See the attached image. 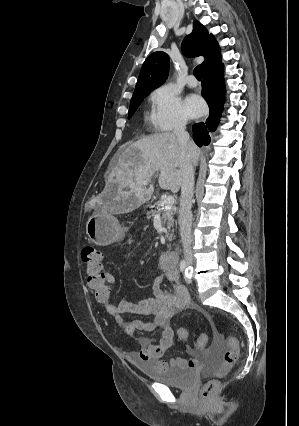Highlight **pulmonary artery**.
Returning a JSON list of instances; mask_svg holds the SVG:
<instances>
[{
    "instance_id": "1",
    "label": "pulmonary artery",
    "mask_w": 299,
    "mask_h": 426,
    "mask_svg": "<svg viewBox=\"0 0 299 426\" xmlns=\"http://www.w3.org/2000/svg\"><path fill=\"white\" fill-rule=\"evenodd\" d=\"M186 83L189 87H196L198 82L193 75L188 76Z\"/></svg>"
}]
</instances>
